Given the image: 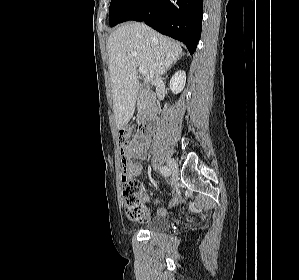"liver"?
I'll return each instance as SVG.
<instances>
[{"label": "liver", "instance_id": "liver-1", "mask_svg": "<svg viewBox=\"0 0 299 280\" xmlns=\"http://www.w3.org/2000/svg\"><path fill=\"white\" fill-rule=\"evenodd\" d=\"M113 95V112L118 129L134 115L139 91L137 68L145 66L147 83L164 74L182 55L179 43L144 23L128 22L118 27L107 42Z\"/></svg>", "mask_w": 299, "mask_h": 280}]
</instances>
